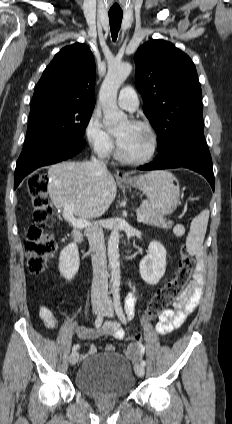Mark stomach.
<instances>
[{
	"label": "stomach",
	"mask_w": 232,
	"mask_h": 424,
	"mask_svg": "<svg viewBox=\"0 0 232 424\" xmlns=\"http://www.w3.org/2000/svg\"><path fill=\"white\" fill-rule=\"evenodd\" d=\"M123 183L143 191L150 206L163 216L173 213L179 204V183L168 171H151Z\"/></svg>",
	"instance_id": "stomach-1"
}]
</instances>
